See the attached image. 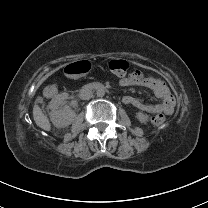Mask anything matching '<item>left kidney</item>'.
I'll return each mask as SVG.
<instances>
[{
    "label": "left kidney",
    "mask_w": 208,
    "mask_h": 208,
    "mask_svg": "<svg viewBox=\"0 0 208 208\" xmlns=\"http://www.w3.org/2000/svg\"><path fill=\"white\" fill-rule=\"evenodd\" d=\"M136 117L141 123H146L148 121V115L143 114L142 112L136 113Z\"/></svg>",
    "instance_id": "obj_1"
}]
</instances>
